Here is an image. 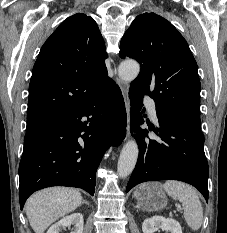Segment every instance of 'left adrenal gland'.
I'll use <instances>...</instances> for the list:
<instances>
[{
  "mask_svg": "<svg viewBox=\"0 0 227 233\" xmlns=\"http://www.w3.org/2000/svg\"><path fill=\"white\" fill-rule=\"evenodd\" d=\"M135 208L139 209V206L137 205V206H135Z\"/></svg>",
  "mask_w": 227,
  "mask_h": 233,
  "instance_id": "obj_1",
  "label": "left adrenal gland"
}]
</instances>
